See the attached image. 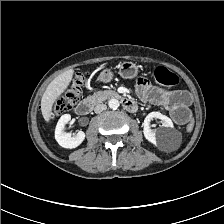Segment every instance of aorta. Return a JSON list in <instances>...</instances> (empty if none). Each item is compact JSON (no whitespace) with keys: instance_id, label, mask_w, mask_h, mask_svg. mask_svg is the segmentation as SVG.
<instances>
[{"instance_id":"1","label":"aorta","mask_w":224,"mask_h":224,"mask_svg":"<svg viewBox=\"0 0 224 224\" xmlns=\"http://www.w3.org/2000/svg\"><path fill=\"white\" fill-rule=\"evenodd\" d=\"M120 103L117 99L113 98L108 101V106L110 109L116 110L119 107Z\"/></svg>"}]
</instances>
